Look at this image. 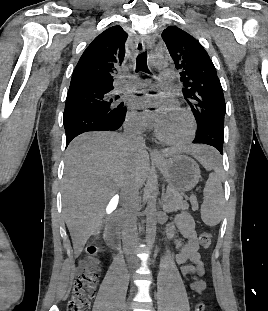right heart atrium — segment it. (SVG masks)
I'll return each instance as SVG.
<instances>
[{
  "mask_svg": "<svg viewBox=\"0 0 268 311\" xmlns=\"http://www.w3.org/2000/svg\"><path fill=\"white\" fill-rule=\"evenodd\" d=\"M127 127L136 132H144L149 128V121L142 115L129 114L127 118Z\"/></svg>",
  "mask_w": 268,
  "mask_h": 311,
  "instance_id": "1",
  "label": "right heart atrium"
}]
</instances>
